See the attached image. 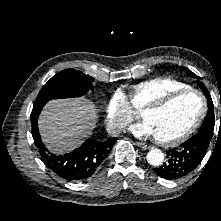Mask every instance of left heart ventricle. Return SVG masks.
<instances>
[{
  "label": "left heart ventricle",
  "mask_w": 221,
  "mask_h": 221,
  "mask_svg": "<svg viewBox=\"0 0 221 221\" xmlns=\"http://www.w3.org/2000/svg\"><path fill=\"white\" fill-rule=\"evenodd\" d=\"M201 110V100L196 94H185L174 100L164 109L144 115L154 136L171 138L189 127Z\"/></svg>",
  "instance_id": "obj_1"
}]
</instances>
